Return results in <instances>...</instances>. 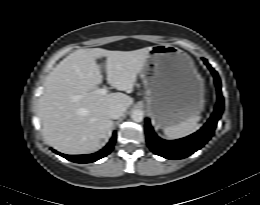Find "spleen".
<instances>
[{"label":"spleen","mask_w":260,"mask_h":205,"mask_svg":"<svg viewBox=\"0 0 260 205\" xmlns=\"http://www.w3.org/2000/svg\"><path fill=\"white\" fill-rule=\"evenodd\" d=\"M200 115H196L187 119L186 121L181 122L178 125L170 126L164 129V134L170 139H179L186 137L199 128L198 122L201 120Z\"/></svg>","instance_id":"1"}]
</instances>
